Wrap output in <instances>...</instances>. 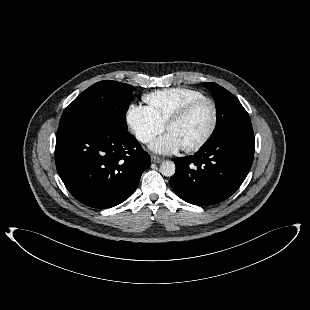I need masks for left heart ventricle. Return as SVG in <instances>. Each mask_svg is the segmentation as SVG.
I'll return each mask as SVG.
<instances>
[{"label":"left heart ventricle","instance_id":"1","mask_svg":"<svg viewBox=\"0 0 310 310\" xmlns=\"http://www.w3.org/2000/svg\"><path fill=\"white\" fill-rule=\"evenodd\" d=\"M212 118L211 106L202 103L195 107L185 119L171 126L168 132L176 135L183 147L199 142L206 134Z\"/></svg>","mask_w":310,"mask_h":310}]
</instances>
